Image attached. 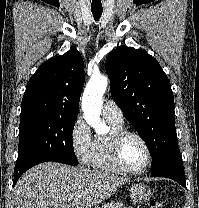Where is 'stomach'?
<instances>
[{
    "mask_svg": "<svg viewBox=\"0 0 199 208\" xmlns=\"http://www.w3.org/2000/svg\"><path fill=\"white\" fill-rule=\"evenodd\" d=\"M149 187L143 183L132 184L129 189V196L134 203H143L151 197Z\"/></svg>",
    "mask_w": 199,
    "mask_h": 208,
    "instance_id": "1",
    "label": "stomach"
}]
</instances>
